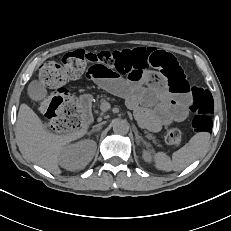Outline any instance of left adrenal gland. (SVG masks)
<instances>
[{
  "mask_svg": "<svg viewBox=\"0 0 231 231\" xmlns=\"http://www.w3.org/2000/svg\"><path fill=\"white\" fill-rule=\"evenodd\" d=\"M134 133H135V138H136L137 144H140V142H142L143 144L148 145V143L143 139V137L138 135V130L136 128H135Z\"/></svg>",
  "mask_w": 231,
  "mask_h": 231,
  "instance_id": "1",
  "label": "left adrenal gland"
}]
</instances>
